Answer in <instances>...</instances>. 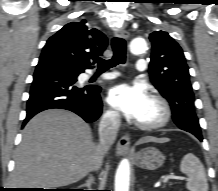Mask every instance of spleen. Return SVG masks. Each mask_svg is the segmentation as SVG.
Listing matches in <instances>:
<instances>
[{
    "label": "spleen",
    "mask_w": 218,
    "mask_h": 191,
    "mask_svg": "<svg viewBox=\"0 0 218 191\" xmlns=\"http://www.w3.org/2000/svg\"><path fill=\"white\" fill-rule=\"evenodd\" d=\"M182 173L188 176L186 188L190 191H208V183L203 164L192 153L186 154L180 164Z\"/></svg>",
    "instance_id": "spleen-1"
}]
</instances>
